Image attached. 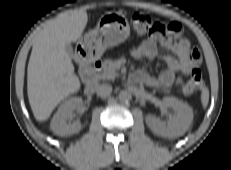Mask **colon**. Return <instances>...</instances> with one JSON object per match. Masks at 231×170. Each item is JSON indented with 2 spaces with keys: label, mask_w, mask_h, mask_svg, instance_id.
<instances>
[{
  "label": "colon",
  "mask_w": 231,
  "mask_h": 170,
  "mask_svg": "<svg viewBox=\"0 0 231 170\" xmlns=\"http://www.w3.org/2000/svg\"><path fill=\"white\" fill-rule=\"evenodd\" d=\"M132 26L134 30L150 38L160 39L166 35V25L154 21L150 16L142 13H136L132 17ZM204 87V80L198 69H193L188 80L182 87V92L192 95Z\"/></svg>",
  "instance_id": "1"
}]
</instances>
